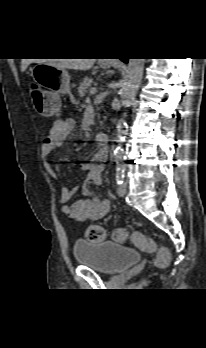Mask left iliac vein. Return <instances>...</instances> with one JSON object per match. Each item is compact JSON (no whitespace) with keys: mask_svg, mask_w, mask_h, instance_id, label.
Instances as JSON below:
<instances>
[{"mask_svg":"<svg viewBox=\"0 0 206 348\" xmlns=\"http://www.w3.org/2000/svg\"><path fill=\"white\" fill-rule=\"evenodd\" d=\"M128 184L127 182H123L118 186L117 193L119 196L124 197L127 194Z\"/></svg>","mask_w":206,"mask_h":348,"instance_id":"obj_1","label":"left iliac vein"}]
</instances>
